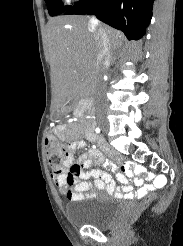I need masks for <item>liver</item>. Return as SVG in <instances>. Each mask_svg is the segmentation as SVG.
<instances>
[{"instance_id": "obj_1", "label": "liver", "mask_w": 183, "mask_h": 246, "mask_svg": "<svg viewBox=\"0 0 183 246\" xmlns=\"http://www.w3.org/2000/svg\"><path fill=\"white\" fill-rule=\"evenodd\" d=\"M86 16L51 18L47 24L48 53L56 108L85 96L97 74L98 32ZM111 50L124 40L120 31L101 25Z\"/></svg>"}]
</instances>
